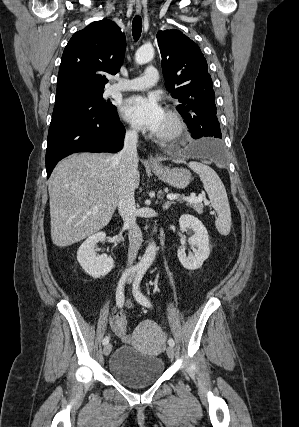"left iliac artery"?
I'll return each instance as SVG.
<instances>
[{
    "label": "left iliac artery",
    "instance_id": "44dca946",
    "mask_svg": "<svg viewBox=\"0 0 299 427\" xmlns=\"http://www.w3.org/2000/svg\"><path fill=\"white\" fill-rule=\"evenodd\" d=\"M144 274H145V270L144 269H138L136 277H135L134 282H133V294H134L136 300L141 305L146 306V307H151L152 305H151L150 300L145 295H143L141 293L140 289H139V285H140V283L142 281V278H143ZM168 344L170 346H174L175 342H174V340L172 338H170L168 340Z\"/></svg>",
    "mask_w": 299,
    "mask_h": 427
}]
</instances>
